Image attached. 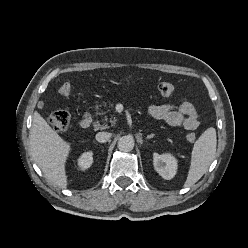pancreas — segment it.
I'll return each mask as SVG.
<instances>
[{
	"instance_id": "pancreas-1",
	"label": "pancreas",
	"mask_w": 248,
	"mask_h": 248,
	"mask_svg": "<svg viewBox=\"0 0 248 248\" xmlns=\"http://www.w3.org/2000/svg\"><path fill=\"white\" fill-rule=\"evenodd\" d=\"M104 120L106 121L107 120V116L104 117ZM94 127H95V130H99V129H104L106 128V125H100L99 122H96L94 124Z\"/></svg>"
}]
</instances>
